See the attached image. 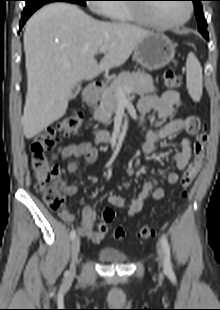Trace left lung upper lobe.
Masks as SVG:
<instances>
[{"label":"left lung upper lobe","mask_w":220,"mask_h":310,"mask_svg":"<svg viewBox=\"0 0 220 310\" xmlns=\"http://www.w3.org/2000/svg\"><path fill=\"white\" fill-rule=\"evenodd\" d=\"M192 1L194 2V6H195L196 18L198 20V29L203 36L208 35L207 23L204 18L202 5H201L202 0H192Z\"/></svg>","instance_id":"1"}]
</instances>
